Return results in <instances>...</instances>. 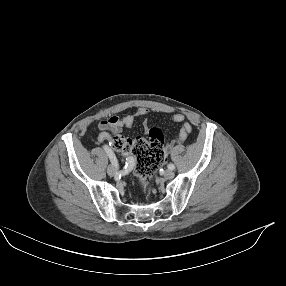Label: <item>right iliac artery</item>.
Wrapping results in <instances>:
<instances>
[{
    "label": "right iliac artery",
    "instance_id": "obj_1",
    "mask_svg": "<svg viewBox=\"0 0 286 286\" xmlns=\"http://www.w3.org/2000/svg\"><path fill=\"white\" fill-rule=\"evenodd\" d=\"M103 149H104L105 152L108 154L112 165H114V166L117 167V166H118L117 158H116V156L114 155V153L112 152V150L109 148V146H108V145H103ZM133 164H134V159H133L132 157H128V158L126 159L125 168H126V167L130 168Z\"/></svg>",
    "mask_w": 286,
    "mask_h": 286
}]
</instances>
